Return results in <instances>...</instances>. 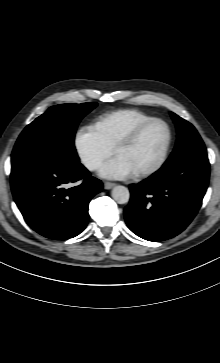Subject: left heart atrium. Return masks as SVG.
Segmentation results:
<instances>
[{
    "label": "left heart atrium",
    "mask_w": 220,
    "mask_h": 363,
    "mask_svg": "<svg viewBox=\"0 0 220 363\" xmlns=\"http://www.w3.org/2000/svg\"><path fill=\"white\" fill-rule=\"evenodd\" d=\"M135 174L131 166L120 156L106 161L99 169V175L107 179H125Z\"/></svg>",
    "instance_id": "obj_1"
}]
</instances>
